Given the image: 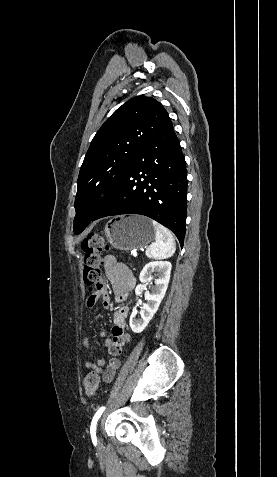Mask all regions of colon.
I'll return each mask as SVG.
<instances>
[{
    "mask_svg": "<svg viewBox=\"0 0 277 477\" xmlns=\"http://www.w3.org/2000/svg\"><path fill=\"white\" fill-rule=\"evenodd\" d=\"M81 250L84 253L83 278L86 285L96 296L100 291L102 254L107 250V244L102 236L89 233L81 241ZM99 387V376L95 372L89 373L84 380L85 393L93 397Z\"/></svg>",
    "mask_w": 277,
    "mask_h": 477,
    "instance_id": "1",
    "label": "colon"
}]
</instances>
